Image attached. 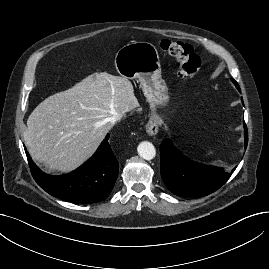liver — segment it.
I'll return each mask as SVG.
<instances>
[{
	"label": "liver",
	"instance_id": "liver-1",
	"mask_svg": "<svg viewBox=\"0 0 269 269\" xmlns=\"http://www.w3.org/2000/svg\"><path fill=\"white\" fill-rule=\"evenodd\" d=\"M138 106L128 78L94 73L42 101L28 117L23 138L48 171L70 172L95 152L112 127L111 116Z\"/></svg>",
	"mask_w": 269,
	"mask_h": 269
}]
</instances>
